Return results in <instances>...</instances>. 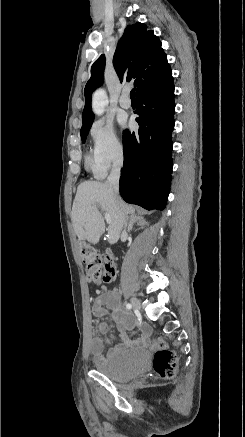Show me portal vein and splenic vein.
Listing matches in <instances>:
<instances>
[{
  "label": "portal vein and splenic vein",
  "instance_id": "1",
  "mask_svg": "<svg viewBox=\"0 0 245 437\" xmlns=\"http://www.w3.org/2000/svg\"><path fill=\"white\" fill-rule=\"evenodd\" d=\"M105 220H106L107 223H110V222H111L110 215L107 214V213H105Z\"/></svg>",
  "mask_w": 245,
  "mask_h": 437
}]
</instances>
